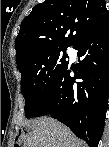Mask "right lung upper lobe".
Returning a JSON list of instances; mask_svg holds the SVG:
<instances>
[{"mask_svg":"<svg viewBox=\"0 0 109 147\" xmlns=\"http://www.w3.org/2000/svg\"><path fill=\"white\" fill-rule=\"evenodd\" d=\"M108 17L105 0H45L36 5L15 40L18 69L43 52L74 46Z\"/></svg>","mask_w":109,"mask_h":147,"instance_id":"right-lung-upper-lobe-1","label":"right lung upper lobe"}]
</instances>
